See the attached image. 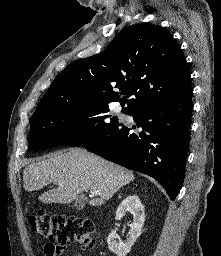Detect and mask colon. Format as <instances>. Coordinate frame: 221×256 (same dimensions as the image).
<instances>
[{
	"label": "colon",
	"instance_id": "5ec220e1",
	"mask_svg": "<svg viewBox=\"0 0 221 256\" xmlns=\"http://www.w3.org/2000/svg\"><path fill=\"white\" fill-rule=\"evenodd\" d=\"M30 228L49 240L45 251L58 256L62 249L78 242L85 249H93L96 245L94 224L89 219L77 217H55L44 210L28 217Z\"/></svg>",
	"mask_w": 221,
	"mask_h": 256
}]
</instances>
